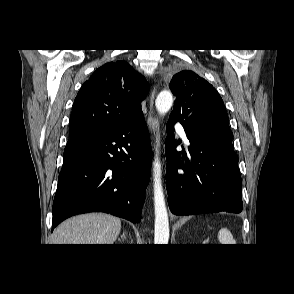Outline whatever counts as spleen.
<instances>
[{
    "label": "spleen",
    "mask_w": 294,
    "mask_h": 294,
    "mask_svg": "<svg viewBox=\"0 0 294 294\" xmlns=\"http://www.w3.org/2000/svg\"><path fill=\"white\" fill-rule=\"evenodd\" d=\"M218 240L221 244H234V239L228 229H221L218 233Z\"/></svg>",
    "instance_id": "obj_1"
}]
</instances>
